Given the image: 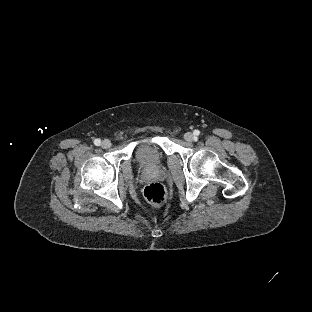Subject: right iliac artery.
Instances as JSON below:
<instances>
[{"label": "right iliac artery", "instance_id": "right-iliac-artery-1", "mask_svg": "<svg viewBox=\"0 0 312 312\" xmlns=\"http://www.w3.org/2000/svg\"><path fill=\"white\" fill-rule=\"evenodd\" d=\"M94 144H95L96 146H99V145L101 144V140H100V139H95V140H94Z\"/></svg>", "mask_w": 312, "mask_h": 312}]
</instances>
